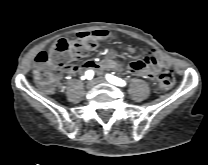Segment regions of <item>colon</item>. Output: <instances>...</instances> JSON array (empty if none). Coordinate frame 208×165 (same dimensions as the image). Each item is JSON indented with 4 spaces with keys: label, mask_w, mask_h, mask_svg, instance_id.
I'll list each match as a JSON object with an SVG mask.
<instances>
[{
    "label": "colon",
    "mask_w": 208,
    "mask_h": 165,
    "mask_svg": "<svg viewBox=\"0 0 208 165\" xmlns=\"http://www.w3.org/2000/svg\"><path fill=\"white\" fill-rule=\"evenodd\" d=\"M98 37L93 33H79L74 39H61L49 51H41L35 57L33 79L46 92L57 88L62 66L66 62L74 63L97 46ZM162 91L170 90L175 84L173 72L163 71L158 78Z\"/></svg>",
    "instance_id": "colon-1"
}]
</instances>
